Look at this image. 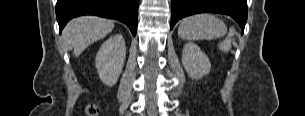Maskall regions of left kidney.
I'll return each mask as SVG.
<instances>
[{
  "label": "left kidney",
  "mask_w": 305,
  "mask_h": 116,
  "mask_svg": "<svg viewBox=\"0 0 305 116\" xmlns=\"http://www.w3.org/2000/svg\"><path fill=\"white\" fill-rule=\"evenodd\" d=\"M182 65L192 79H200L211 70L208 57L194 43H186L182 51Z\"/></svg>",
  "instance_id": "1"
}]
</instances>
